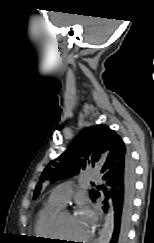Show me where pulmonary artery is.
I'll return each mask as SVG.
<instances>
[{
    "mask_svg": "<svg viewBox=\"0 0 154 243\" xmlns=\"http://www.w3.org/2000/svg\"><path fill=\"white\" fill-rule=\"evenodd\" d=\"M84 180H92V181H99L100 177L99 174L96 172H88L84 175ZM74 193V188L71 183H64L56 186L49 197V200L64 206L66 205L72 198Z\"/></svg>",
    "mask_w": 154,
    "mask_h": 243,
    "instance_id": "pulmonary-artery-1",
    "label": "pulmonary artery"
}]
</instances>
